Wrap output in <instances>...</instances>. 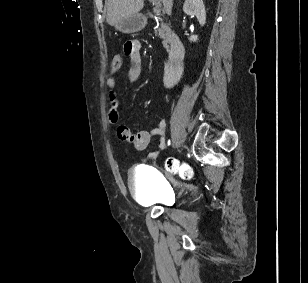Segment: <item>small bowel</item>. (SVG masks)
Returning a JSON list of instances; mask_svg holds the SVG:
<instances>
[{
    "instance_id": "obj_1",
    "label": "small bowel",
    "mask_w": 308,
    "mask_h": 283,
    "mask_svg": "<svg viewBox=\"0 0 308 283\" xmlns=\"http://www.w3.org/2000/svg\"><path fill=\"white\" fill-rule=\"evenodd\" d=\"M124 52L128 55L132 61V66L128 71V78L131 82L139 80L142 74V55H141V44L137 40H129L124 44ZM181 77V69H173L170 65H166L163 73V85L165 88H174L177 86ZM117 80L114 76L109 77L106 80V86L109 89L108 100V122L112 125L118 124L119 122V100L115 91ZM166 130V122L160 120L152 126L149 130L132 131L125 125L117 126V135L120 140L128 142L134 146L138 151L145 150L151 140L152 136L159 137V149L162 150L166 146L164 138ZM156 152L151 153V158H155Z\"/></svg>"
}]
</instances>
